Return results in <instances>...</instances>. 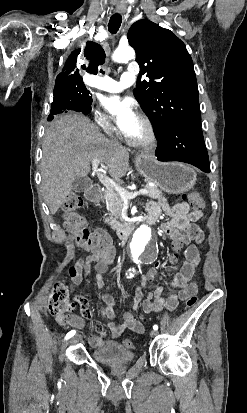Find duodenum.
Wrapping results in <instances>:
<instances>
[{
    "label": "duodenum",
    "mask_w": 247,
    "mask_h": 413,
    "mask_svg": "<svg viewBox=\"0 0 247 413\" xmlns=\"http://www.w3.org/2000/svg\"><path fill=\"white\" fill-rule=\"evenodd\" d=\"M85 197L90 202H100L103 197V189L99 185H92L85 193ZM135 224L133 222L128 223L125 227L120 228L117 232V239L121 245H125L128 241L130 234L132 233Z\"/></svg>",
    "instance_id": "1"
}]
</instances>
